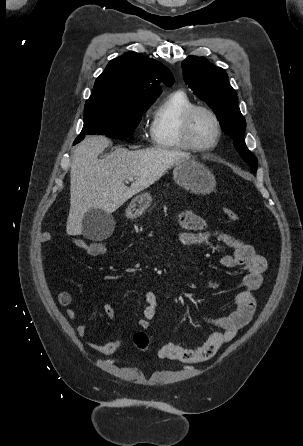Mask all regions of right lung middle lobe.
<instances>
[{
  "label": "right lung middle lobe",
  "instance_id": "dd1d6c3e",
  "mask_svg": "<svg viewBox=\"0 0 303 446\" xmlns=\"http://www.w3.org/2000/svg\"><path fill=\"white\" fill-rule=\"evenodd\" d=\"M149 107H85L84 126L74 144L79 143L88 134H102L111 138L131 137L141 120V114Z\"/></svg>",
  "mask_w": 303,
  "mask_h": 446
}]
</instances>
